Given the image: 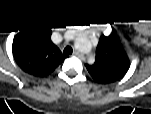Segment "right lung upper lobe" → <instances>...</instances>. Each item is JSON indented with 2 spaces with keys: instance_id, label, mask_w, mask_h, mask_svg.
<instances>
[{
  "instance_id": "cb5924a9",
  "label": "right lung upper lobe",
  "mask_w": 151,
  "mask_h": 114,
  "mask_svg": "<svg viewBox=\"0 0 151 114\" xmlns=\"http://www.w3.org/2000/svg\"><path fill=\"white\" fill-rule=\"evenodd\" d=\"M12 51L19 67L38 77L50 74L65 59L51 41L50 33L42 28H33L18 34L13 41Z\"/></svg>"
}]
</instances>
